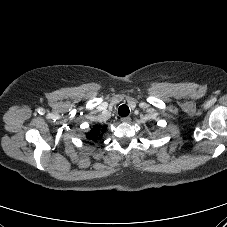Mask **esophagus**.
Masks as SVG:
<instances>
[{
  "mask_svg": "<svg viewBox=\"0 0 227 227\" xmlns=\"http://www.w3.org/2000/svg\"><path fill=\"white\" fill-rule=\"evenodd\" d=\"M130 120H131V118L128 117V116H127V117H122V118H121V121L124 122V123H128Z\"/></svg>",
  "mask_w": 227,
  "mask_h": 227,
  "instance_id": "1",
  "label": "esophagus"
}]
</instances>
